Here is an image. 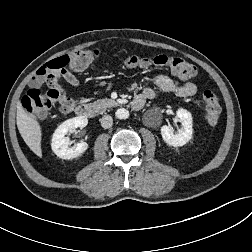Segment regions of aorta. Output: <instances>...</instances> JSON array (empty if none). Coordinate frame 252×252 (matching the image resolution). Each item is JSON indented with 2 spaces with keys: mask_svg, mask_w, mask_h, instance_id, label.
Returning a JSON list of instances; mask_svg holds the SVG:
<instances>
[{
  "mask_svg": "<svg viewBox=\"0 0 252 252\" xmlns=\"http://www.w3.org/2000/svg\"><path fill=\"white\" fill-rule=\"evenodd\" d=\"M115 115L119 119H127L129 117V112L124 108H120L116 111Z\"/></svg>",
  "mask_w": 252,
  "mask_h": 252,
  "instance_id": "1",
  "label": "aorta"
}]
</instances>
